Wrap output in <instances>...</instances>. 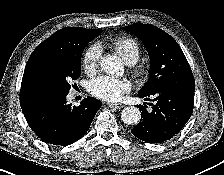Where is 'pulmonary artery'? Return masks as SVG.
Here are the masks:
<instances>
[{
  "mask_svg": "<svg viewBox=\"0 0 224 175\" xmlns=\"http://www.w3.org/2000/svg\"><path fill=\"white\" fill-rule=\"evenodd\" d=\"M134 63H130L129 65H133Z\"/></svg>",
  "mask_w": 224,
  "mask_h": 175,
  "instance_id": "obj_1",
  "label": "pulmonary artery"
}]
</instances>
